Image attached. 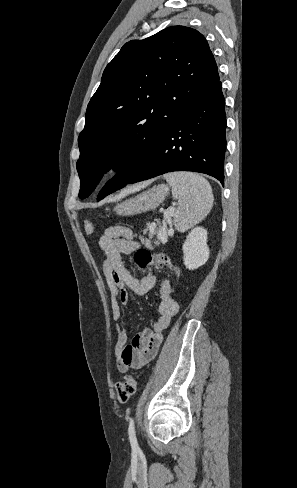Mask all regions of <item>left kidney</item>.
<instances>
[{
  "instance_id": "5707ae66",
  "label": "left kidney",
  "mask_w": 297,
  "mask_h": 488,
  "mask_svg": "<svg viewBox=\"0 0 297 488\" xmlns=\"http://www.w3.org/2000/svg\"><path fill=\"white\" fill-rule=\"evenodd\" d=\"M207 235V230L200 226L194 227L187 235L183 244V261L189 270L197 269L207 262L209 258Z\"/></svg>"
}]
</instances>
